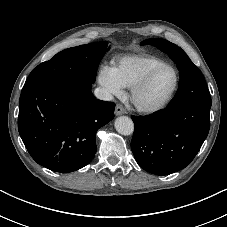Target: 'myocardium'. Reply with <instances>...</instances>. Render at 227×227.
I'll return each instance as SVG.
<instances>
[{"label":"myocardium","instance_id":"obj_1","mask_svg":"<svg viewBox=\"0 0 227 227\" xmlns=\"http://www.w3.org/2000/svg\"><path fill=\"white\" fill-rule=\"evenodd\" d=\"M172 69L175 73V85L169 95L159 104L155 106H143L138 102L139 94L144 90V88L149 84L152 78L163 69ZM180 86V73L177 68L171 64H163L158 67L153 68L147 74H145L132 88L130 91V102L132 106L140 113L143 114H154L164 110L174 99Z\"/></svg>","mask_w":227,"mask_h":227}]
</instances>
